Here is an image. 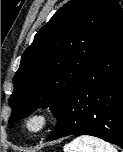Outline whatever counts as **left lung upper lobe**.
<instances>
[{"instance_id": "left-lung-upper-lobe-1", "label": "left lung upper lobe", "mask_w": 123, "mask_h": 152, "mask_svg": "<svg viewBox=\"0 0 123 152\" xmlns=\"http://www.w3.org/2000/svg\"><path fill=\"white\" fill-rule=\"evenodd\" d=\"M120 13L116 0H71L54 14L21 57L9 98L10 125L40 107L58 117Z\"/></svg>"}]
</instances>
